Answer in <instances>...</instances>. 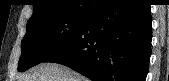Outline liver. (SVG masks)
Returning <instances> with one entry per match:
<instances>
[{
	"label": "liver",
	"mask_w": 169,
	"mask_h": 81,
	"mask_svg": "<svg viewBox=\"0 0 169 81\" xmlns=\"http://www.w3.org/2000/svg\"><path fill=\"white\" fill-rule=\"evenodd\" d=\"M18 81H88L86 77L57 63H40L18 77Z\"/></svg>",
	"instance_id": "6515ba94"
}]
</instances>
